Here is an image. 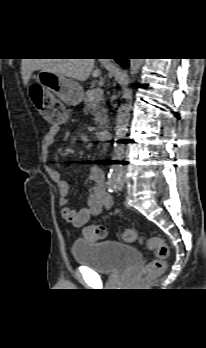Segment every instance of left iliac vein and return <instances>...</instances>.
<instances>
[{
  "label": "left iliac vein",
  "mask_w": 206,
  "mask_h": 348,
  "mask_svg": "<svg viewBox=\"0 0 206 348\" xmlns=\"http://www.w3.org/2000/svg\"><path fill=\"white\" fill-rule=\"evenodd\" d=\"M124 184H125V179L122 178L117 184L118 190H122L124 188Z\"/></svg>",
  "instance_id": "obj_1"
}]
</instances>
